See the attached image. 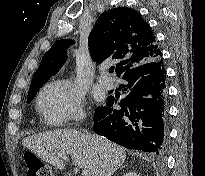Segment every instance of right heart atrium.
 I'll return each mask as SVG.
<instances>
[{"label": "right heart atrium", "instance_id": "obj_1", "mask_svg": "<svg viewBox=\"0 0 205 176\" xmlns=\"http://www.w3.org/2000/svg\"><path fill=\"white\" fill-rule=\"evenodd\" d=\"M37 110L43 120L60 126L83 116V94L65 80H54L38 93Z\"/></svg>", "mask_w": 205, "mask_h": 176}]
</instances>
